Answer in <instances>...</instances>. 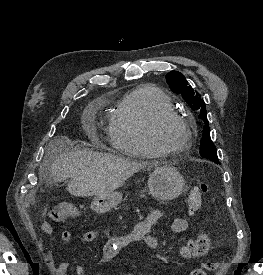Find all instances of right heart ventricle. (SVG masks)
<instances>
[{
	"instance_id": "right-heart-ventricle-1",
	"label": "right heart ventricle",
	"mask_w": 263,
	"mask_h": 275,
	"mask_svg": "<svg viewBox=\"0 0 263 275\" xmlns=\"http://www.w3.org/2000/svg\"><path fill=\"white\" fill-rule=\"evenodd\" d=\"M164 110H174V105L159 88L143 85L129 91L110 114L108 132L112 147L134 157H155L146 131L151 119Z\"/></svg>"
}]
</instances>
